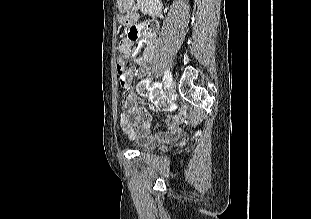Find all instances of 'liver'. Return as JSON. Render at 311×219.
Segmentation results:
<instances>
[{
  "instance_id": "1",
  "label": "liver",
  "mask_w": 311,
  "mask_h": 219,
  "mask_svg": "<svg viewBox=\"0 0 311 219\" xmlns=\"http://www.w3.org/2000/svg\"><path fill=\"white\" fill-rule=\"evenodd\" d=\"M131 0H117L120 12L127 11L130 7Z\"/></svg>"
}]
</instances>
